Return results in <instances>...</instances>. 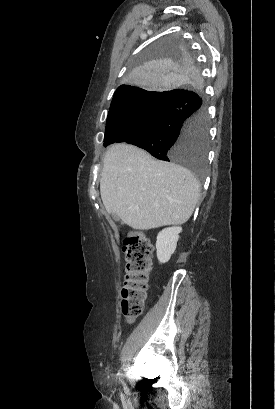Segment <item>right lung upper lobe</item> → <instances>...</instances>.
<instances>
[{"label":"right lung upper lobe","mask_w":275,"mask_h":409,"mask_svg":"<svg viewBox=\"0 0 275 409\" xmlns=\"http://www.w3.org/2000/svg\"><path fill=\"white\" fill-rule=\"evenodd\" d=\"M147 90H135L134 86L132 85H121L120 87L117 88L116 92L114 93L113 100L111 103V107H114L116 104L124 100L125 98L137 94V93H142Z\"/></svg>","instance_id":"1"}]
</instances>
